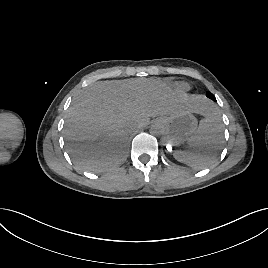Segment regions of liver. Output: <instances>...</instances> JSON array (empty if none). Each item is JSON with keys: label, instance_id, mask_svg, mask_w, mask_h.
<instances>
[{"label": "liver", "instance_id": "liver-1", "mask_svg": "<svg viewBox=\"0 0 268 268\" xmlns=\"http://www.w3.org/2000/svg\"><path fill=\"white\" fill-rule=\"evenodd\" d=\"M183 110L207 115L209 102L174 93L157 79L93 83L76 94L67 111L63 133L68 152L78 167L106 171L121 162L132 128Z\"/></svg>", "mask_w": 268, "mask_h": 268}]
</instances>
